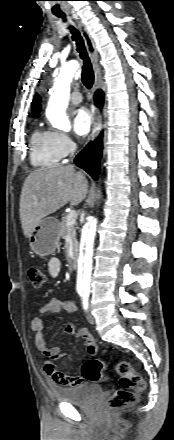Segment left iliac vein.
<instances>
[{
    "mask_svg": "<svg viewBox=\"0 0 174 440\" xmlns=\"http://www.w3.org/2000/svg\"><path fill=\"white\" fill-rule=\"evenodd\" d=\"M87 320L90 324H95V317L91 313L87 314Z\"/></svg>",
    "mask_w": 174,
    "mask_h": 440,
    "instance_id": "1",
    "label": "left iliac vein"
}]
</instances>
